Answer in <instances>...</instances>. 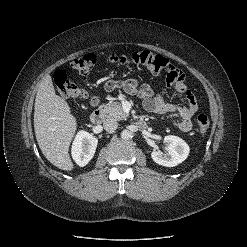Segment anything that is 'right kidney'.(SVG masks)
Instances as JSON below:
<instances>
[{"label":"right kidney","instance_id":"right-kidney-1","mask_svg":"<svg viewBox=\"0 0 247 247\" xmlns=\"http://www.w3.org/2000/svg\"><path fill=\"white\" fill-rule=\"evenodd\" d=\"M98 139L86 131H79L72 144V157L77 165L83 167L95 154Z\"/></svg>","mask_w":247,"mask_h":247}]
</instances>
